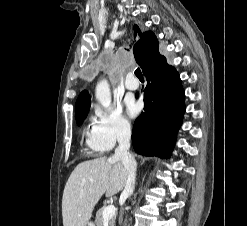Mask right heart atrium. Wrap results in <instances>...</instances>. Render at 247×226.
I'll return each mask as SVG.
<instances>
[{"label": "right heart atrium", "mask_w": 247, "mask_h": 226, "mask_svg": "<svg viewBox=\"0 0 247 226\" xmlns=\"http://www.w3.org/2000/svg\"><path fill=\"white\" fill-rule=\"evenodd\" d=\"M131 132V124L120 110L112 109L107 112L97 110L90 135L94 144L109 151L118 143L127 141Z\"/></svg>", "instance_id": "right-heart-atrium-1"}]
</instances>
